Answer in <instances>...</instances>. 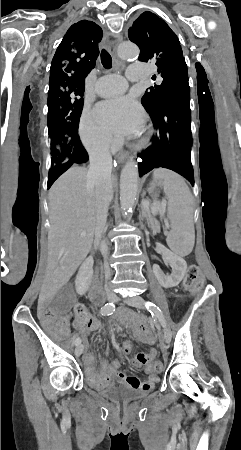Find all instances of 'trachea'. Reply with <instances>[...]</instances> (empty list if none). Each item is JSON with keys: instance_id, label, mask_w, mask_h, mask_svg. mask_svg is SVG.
Instances as JSON below:
<instances>
[{"instance_id": "trachea-1", "label": "trachea", "mask_w": 241, "mask_h": 450, "mask_svg": "<svg viewBox=\"0 0 241 450\" xmlns=\"http://www.w3.org/2000/svg\"><path fill=\"white\" fill-rule=\"evenodd\" d=\"M101 63H102L104 68H111V66H112V57L104 49L101 52Z\"/></svg>"}]
</instances>
